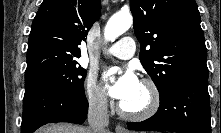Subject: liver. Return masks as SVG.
<instances>
[{"mask_svg": "<svg viewBox=\"0 0 221 133\" xmlns=\"http://www.w3.org/2000/svg\"><path fill=\"white\" fill-rule=\"evenodd\" d=\"M37 133H89V129L68 123H58L45 126Z\"/></svg>", "mask_w": 221, "mask_h": 133, "instance_id": "1", "label": "liver"}]
</instances>
